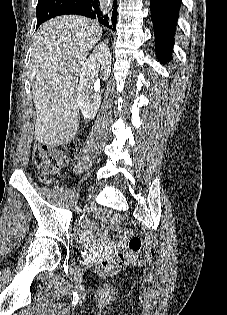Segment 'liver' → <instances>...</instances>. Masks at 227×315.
<instances>
[{"label":"liver","instance_id":"6515ba94","mask_svg":"<svg viewBox=\"0 0 227 315\" xmlns=\"http://www.w3.org/2000/svg\"><path fill=\"white\" fill-rule=\"evenodd\" d=\"M101 35L97 22L76 15L59 16L39 27L29 68L39 143L53 146L75 137L78 79Z\"/></svg>","mask_w":227,"mask_h":315}]
</instances>
